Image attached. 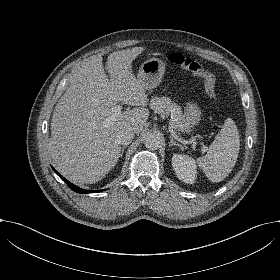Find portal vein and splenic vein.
Masks as SVG:
<instances>
[{"mask_svg":"<svg viewBox=\"0 0 280 280\" xmlns=\"http://www.w3.org/2000/svg\"><path fill=\"white\" fill-rule=\"evenodd\" d=\"M111 119H112V118L109 117V118H107L106 120H111ZM171 127L174 128L173 125H171ZM203 148H204V147H203ZM204 150H207V148H204Z\"/></svg>","mask_w":280,"mask_h":280,"instance_id":"portal-vein-and-splenic-vein-1","label":"portal vein and splenic vein"}]
</instances>
